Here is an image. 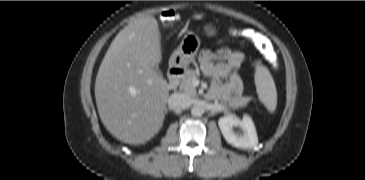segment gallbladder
Returning a JSON list of instances; mask_svg holds the SVG:
<instances>
[{
    "label": "gallbladder",
    "instance_id": "1",
    "mask_svg": "<svg viewBox=\"0 0 365 180\" xmlns=\"http://www.w3.org/2000/svg\"><path fill=\"white\" fill-rule=\"evenodd\" d=\"M154 69L157 72V74L162 77V72L159 70V68L158 67H154Z\"/></svg>",
    "mask_w": 365,
    "mask_h": 180
}]
</instances>
